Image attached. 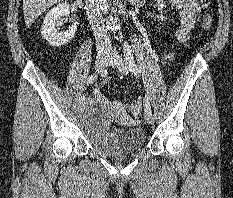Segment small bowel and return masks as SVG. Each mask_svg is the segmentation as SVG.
Returning <instances> with one entry per match:
<instances>
[{"mask_svg": "<svg viewBox=\"0 0 233 198\" xmlns=\"http://www.w3.org/2000/svg\"><path fill=\"white\" fill-rule=\"evenodd\" d=\"M171 2L178 11V29L176 36L180 41H185L195 28L199 16V6L196 0H171ZM166 58H169V56ZM94 98L99 102L106 101L100 89H95ZM111 105L119 116L124 114L123 108L119 103L112 102Z\"/></svg>", "mask_w": 233, "mask_h": 198, "instance_id": "small-bowel-1", "label": "small bowel"}]
</instances>
